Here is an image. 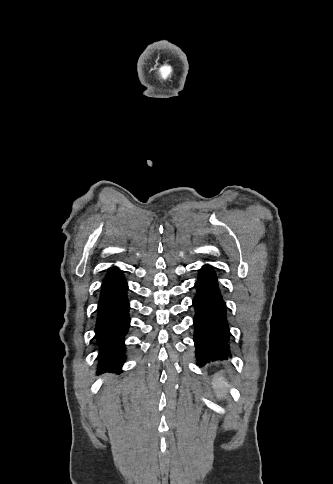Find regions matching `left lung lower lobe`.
Returning a JSON list of instances; mask_svg holds the SVG:
<instances>
[{"label": "left lung lower lobe", "mask_w": 333, "mask_h": 484, "mask_svg": "<svg viewBox=\"0 0 333 484\" xmlns=\"http://www.w3.org/2000/svg\"><path fill=\"white\" fill-rule=\"evenodd\" d=\"M195 287L194 343L197 363L202 366L209 361L226 359L230 355V332L226 305L210 265L200 270Z\"/></svg>", "instance_id": "1"}]
</instances>
